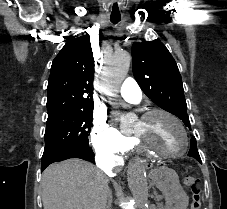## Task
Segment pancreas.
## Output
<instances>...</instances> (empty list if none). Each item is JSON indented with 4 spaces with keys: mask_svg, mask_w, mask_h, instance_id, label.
Returning a JSON list of instances; mask_svg holds the SVG:
<instances>
[{
    "mask_svg": "<svg viewBox=\"0 0 227 209\" xmlns=\"http://www.w3.org/2000/svg\"><path fill=\"white\" fill-rule=\"evenodd\" d=\"M156 207L157 209H166V205L164 203H157Z\"/></svg>",
    "mask_w": 227,
    "mask_h": 209,
    "instance_id": "cf45deb5",
    "label": "pancreas"
}]
</instances>
